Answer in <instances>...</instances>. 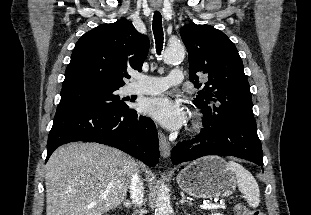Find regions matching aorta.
I'll return each instance as SVG.
<instances>
[{"label": "aorta", "mask_w": 311, "mask_h": 215, "mask_svg": "<svg viewBox=\"0 0 311 215\" xmlns=\"http://www.w3.org/2000/svg\"><path fill=\"white\" fill-rule=\"evenodd\" d=\"M184 57L185 49L182 45L169 46L163 54V60L166 64L180 62ZM171 209L170 194L166 186L162 184L158 189L155 215H170Z\"/></svg>", "instance_id": "762f6f07"}]
</instances>
